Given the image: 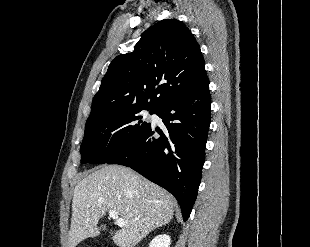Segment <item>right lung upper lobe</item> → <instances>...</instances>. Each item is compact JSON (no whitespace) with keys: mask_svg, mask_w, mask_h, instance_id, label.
Masks as SVG:
<instances>
[{"mask_svg":"<svg viewBox=\"0 0 310 247\" xmlns=\"http://www.w3.org/2000/svg\"><path fill=\"white\" fill-rule=\"evenodd\" d=\"M204 65L190 30L176 19L161 20L142 34L134 51L111 62L87 121L132 108L157 110L206 82Z\"/></svg>","mask_w":310,"mask_h":247,"instance_id":"right-lung-upper-lobe-1","label":"right lung upper lobe"}]
</instances>
